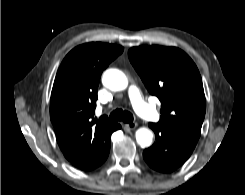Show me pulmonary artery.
I'll return each instance as SVG.
<instances>
[{
  "label": "pulmonary artery",
  "mask_w": 245,
  "mask_h": 195,
  "mask_svg": "<svg viewBox=\"0 0 245 195\" xmlns=\"http://www.w3.org/2000/svg\"><path fill=\"white\" fill-rule=\"evenodd\" d=\"M128 93L135 111L142 118L152 122L159 120V114L157 111L143 100L138 88L135 85H131L129 87Z\"/></svg>",
  "instance_id": "pulmonary-artery-1"
}]
</instances>
